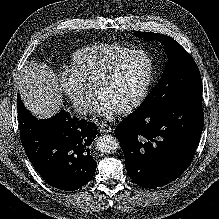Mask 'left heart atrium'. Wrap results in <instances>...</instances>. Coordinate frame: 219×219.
<instances>
[{
  "mask_svg": "<svg viewBox=\"0 0 219 219\" xmlns=\"http://www.w3.org/2000/svg\"><path fill=\"white\" fill-rule=\"evenodd\" d=\"M118 109L115 105H113L109 100H107L103 96H99L96 102L95 112L97 115L106 118L111 119Z\"/></svg>",
  "mask_w": 219,
  "mask_h": 219,
  "instance_id": "1",
  "label": "left heart atrium"
}]
</instances>
